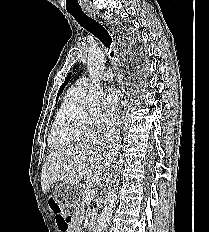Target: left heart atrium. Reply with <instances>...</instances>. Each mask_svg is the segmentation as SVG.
Listing matches in <instances>:
<instances>
[{
	"mask_svg": "<svg viewBox=\"0 0 209 232\" xmlns=\"http://www.w3.org/2000/svg\"><path fill=\"white\" fill-rule=\"evenodd\" d=\"M119 99H120L119 93L115 88L107 89L102 98V104L104 109L108 113L114 112L117 108Z\"/></svg>",
	"mask_w": 209,
	"mask_h": 232,
	"instance_id": "left-heart-atrium-1",
	"label": "left heart atrium"
}]
</instances>
